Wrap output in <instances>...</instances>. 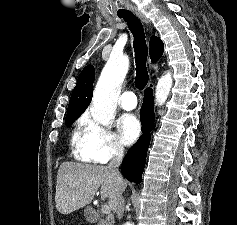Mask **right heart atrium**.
Instances as JSON below:
<instances>
[{
    "instance_id": "obj_1",
    "label": "right heart atrium",
    "mask_w": 237,
    "mask_h": 225,
    "mask_svg": "<svg viewBox=\"0 0 237 225\" xmlns=\"http://www.w3.org/2000/svg\"><path fill=\"white\" fill-rule=\"evenodd\" d=\"M76 152L86 161L105 164L121 158L124 155V147L115 132L86 114L81 119Z\"/></svg>"
}]
</instances>
